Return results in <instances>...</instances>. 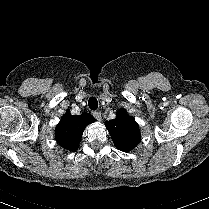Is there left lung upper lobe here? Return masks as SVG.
Instances as JSON below:
<instances>
[{
	"instance_id": "1",
	"label": "left lung upper lobe",
	"mask_w": 209,
	"mask_h": 209,
	"mask_svg": "<svg viewBox=\"0 0 209 209\" xmlns=\"http://www.w3.org/2000/svg\"><path fill=\"white\" fill-rule=\"evenodd\" d=\"M106 127L117 149L129 152L140 141V130L135 119L125 109L117 112V117L106 122Z\"/></svg>"
}]
</instances>
